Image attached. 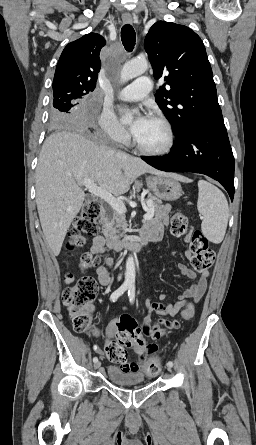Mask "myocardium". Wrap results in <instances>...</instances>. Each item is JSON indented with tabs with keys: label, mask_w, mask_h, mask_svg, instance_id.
<instances>
[{
	"label": "myocardium",
	"mask_w": 256,
	"mask_h": 445,
	"mask_svg": "<svg viewBox=\"0 0 256 445\" xmlns=\"http://www.w3.org/2000/svg\"><path fill=\"white\" fill-rule=\"evenodd\" d=\"M152 120L160 123L167 134V142L166 144L159 149H148L143 147L141 144L138 143L135 136L132 139L133 146L142 154L149 155V156H163L171 152L175 145V132L173 129L172 124L167 120L165 117L160 115H153L151 116Z\"/></svg>",
	"instance_id": "myocardium-1"
}]
</instances>
